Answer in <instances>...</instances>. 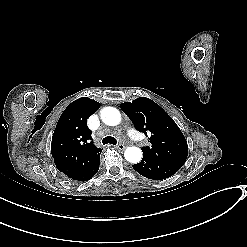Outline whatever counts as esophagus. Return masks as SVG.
Returning a JSON list of instances; mask_svg holds the SVG:
<instances>
[{
	"label": "esophagus",
	"mask_w": 247,
	"mask_h": 247,
	"mask_svg": "<svg viewBox=\"0 0 247 247\" xmlns=\"http://www.w3.org/2000/svg\"><path fill=\"white\" fill-rule=\"evenodd\" d=\"M117 148H118L119 150H124V149H125V146H124L123 144H119V145L117 146Z\"/></svg>",
	"instance_id": "obj_1"
}]
</instances>
